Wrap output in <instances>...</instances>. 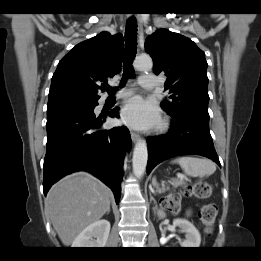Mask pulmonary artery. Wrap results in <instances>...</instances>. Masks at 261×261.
Masks as SVG:
<instances>
[{
	"label": "pulmonary artery",
	"mask_w": 261,
	"mask_h": 261,
	"mask_svg": "<svg viewBox=\"0 0 261 261\" xmlns=\"http://www.w3.org/2000/svg\"><path fill=\"white\" fill-rule=\"evenodd\" d=\"M138 83L143 88L154 89L157 85V77L153 75H141L138 78ZM128 95H130V91H128L127 89H120L114 94L116 98L124 97Z\"/></svg>",
	"instance_id": "e3ab8cb5"
}]
</instances>
